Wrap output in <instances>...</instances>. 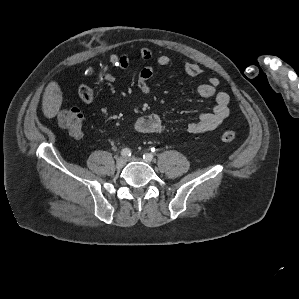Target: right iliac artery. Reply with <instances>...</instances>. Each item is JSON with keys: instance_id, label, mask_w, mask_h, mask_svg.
<instances>
[{"instance_id": "82829eb1", "label": "right iliac artery", "mask_w": 299, "mask_h": 299, "mask_svg": "<svg viewBox=\"0 0 299 299\" xmlns=\"http://www.w3.org/2000/svg\"><path fill=\"white\" fill-rule=\"evenodd\" d=\"M131 154H132V152H131V150L129 148H124L121 151V155L123 157H129V156H131Z\"/></svg>"}]
</instances>
